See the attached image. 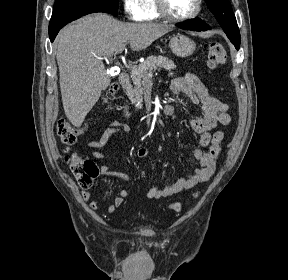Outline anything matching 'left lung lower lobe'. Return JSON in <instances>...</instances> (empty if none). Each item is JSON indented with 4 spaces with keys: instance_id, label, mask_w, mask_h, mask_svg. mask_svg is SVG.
<instances>
[{
    "instance_id": "obj_1",
    "label": "left lung lower lobe",
    "mask_w": 288,
    "mask_h": 280,
    "mask_svg": "<svg viewBox=\"0 0 288 280\" xmlns=\"http://www.w3.org/2000/svg\"><path fill=\"white\" fill-rule=\"evenodd\" d=\"M176 26L187 29V30H194V31H206L210 29L204 21L199 18H196L192 21H187L184 23L177 24ZM235 48L238 50L240 45H234Z\"/></svg>"
}]
</instances>
